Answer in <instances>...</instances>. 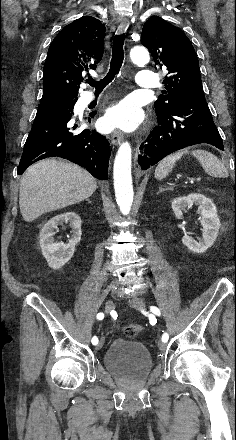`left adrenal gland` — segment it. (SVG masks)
I'll list each match as a JSON object with an SVG mask.
<instances>
[{
	"instance_id": "a2214340",
	"label": "left adrenal gland",
	"mask_w": 236,
	"mask_h": 440,
	"mask_svg": "<svg viewBox=\"0 0 236 440\" xmlns=\"http://www.w3.org/2000/svg\"><path fill=\"white\" fill-rule=\"evenodd\" d=\"M166 190H173V188L172 187H166V188L160 187L158 193H161Z\"/></svg>"
}]
</instances>
